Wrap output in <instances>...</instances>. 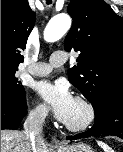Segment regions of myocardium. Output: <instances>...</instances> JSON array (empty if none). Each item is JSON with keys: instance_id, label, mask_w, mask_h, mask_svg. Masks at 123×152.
Here are the masks:
<instances>
[{"instance_id": "1", "label": "myocardium", "mask_w": 123, "mask_h": 152, "mask_svg": "<svg viewBox=\"0 0 123 152\" xmlns=\"http://www.w3.org/2000/svg\"><path fill=\"white\" fill-rule=\"evenodd\" d=\"M75 101L79 102L86 111V116L83 121L79 123L64 122L65 127L72 132H83L89 129L96 120V109L94 104L85 96L77 95L74 98Z\"/></svg>"}]
</instances>
